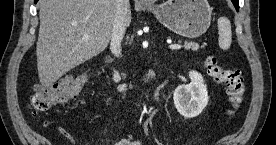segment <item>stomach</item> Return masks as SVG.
I'll return each instance as SVG.
<instances>
[{
  "label": "stomach",
  "mask_w": 276,
  "mask_h": 145,
  "mask_svg": "<svg viewBox=\"0 0 276 145\" xmlns=\"http://www.w3.org/2000/svg\"><path fill=\"white\" fill-rule=\"evenodd\" d=\"M148 9L165 27L187 38L201 36L211 23L207 0H167Z\"/></svg>",
  "instance_id": "obj_1"
}]
</instances>
